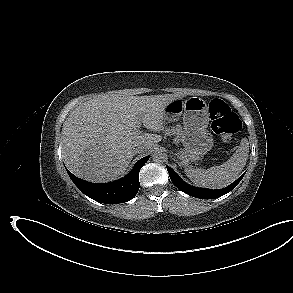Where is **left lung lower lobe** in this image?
<instances>
[{"instance_id": "obj_1", "label": "left lung lower lobe", "mask_w": 293, "mask_h": 293, "mask_svg": "<svg viewBox=\"0 0 293 293\" xmlns=\"http://www.w3.org/2000/svg\"><path fill=\"white\" fill-rule=\"evenodd\" d=\"M167 170H168L171 181L178 189H180L181 191H183L184 193L190 196L201 198V199H214V198H218L225 195L226 193L230 192L237 186V184L242 180L245 174L244 173L236 181H234L232 184H230L229 186L223 189L212 190V189H204V188H197V187L191 186L185 183L170 167H167Z\"/></svg>"}]
</instances>
